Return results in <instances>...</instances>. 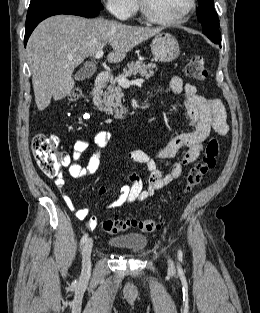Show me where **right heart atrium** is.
Segmentation results:
<instances>
[{"label":"right heart atrium","instance_id":"1","mask_svg":"<svg viewBox=\"0 0 260 313\" xmlns=\"http://www.w3.org/2000/svg\"><path fill=\"white\" fill-rule=\"evenodd\" d=\"M109 12L118 19L129 18L136 9L135 0H103Z\"/></svg>","mask_w":260,"mask_h":313}]
</instances>
